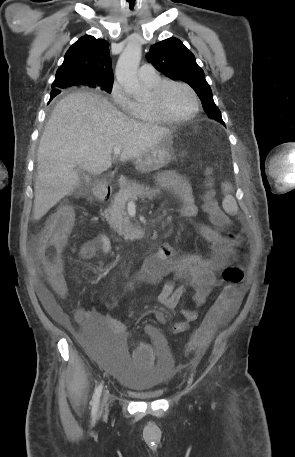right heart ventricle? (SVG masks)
<instances>
[{"label":"right heart ventricle","mask_w":295,"mask_h":457,"mask_svg":"<svg viewBox=\"0 0 295 457\" xmlns=\"http://www.w3.org/2000/svg\"><path fill=\"white\" fill-rule=\"evenodd\" d=\"M160 82V78L153 81H144V83L149 86L150 88L154 87L156 84ZM132 116L135 120L146 123V124H157L161 122L151 111L149 108L148 102H134V110L132 112Z\"/></svg>","instance_id":"e07e8e85"}]
</instances>
